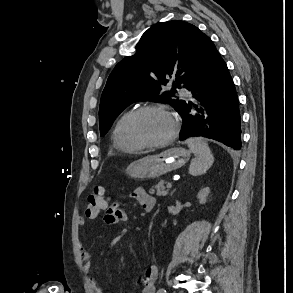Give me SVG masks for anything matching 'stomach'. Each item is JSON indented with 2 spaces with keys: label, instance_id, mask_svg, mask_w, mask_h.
Returning a JSON list of instances; mask_svg holds the SVG:
<instances>
[{
  "label": "stomach",
  "instance_id": "stomach-1",
  "mask_svg": "<svg viewBox=\"0 0 293 293\" xmlns=\"http://www.w3.org/2000/svg\"><path fill=\"white\" fill-rule=\"evenodd\" d=\"M190 158V152L184 148H170L160 154L146 156L132 162L126 173L135 179L159 178L181 168Z\"/></svg>",
  "mask_w": 293,
  "mask_h": 293
}]
</instances>
